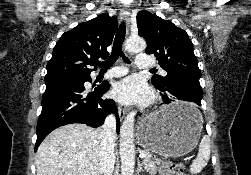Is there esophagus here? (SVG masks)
Segmentation results:
<instances>
[{
  "label": "esophagus",
  "instance_id": "esophagus-1",
  "mask_svg": "<svg viewBox=\"0 0 251 175\" xmlns=\"http://www.w3.org/2000/svg\"><path fill=\"white\" fill-rule=\"evenodd\" d=\"M121 19H122V21H124V23L126 25L127 35H128V33H129V25H130V19H129L128 12H125L124 10H122ZM118 113H119V117L122 119V118L125 117L127 111H126V109L124 107L119 106Z\"/></svg>",
  "mask_w": 251,
  "mask_h": 175
}]
</instances>
